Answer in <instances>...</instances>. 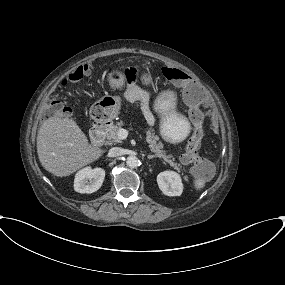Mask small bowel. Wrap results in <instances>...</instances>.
<instances>
[{"mask_svg":"<svg viewBox=\"0 0 285 285\" xmlns=\"http://www.w3.org/2000/svg\"><path fill=\"white\" fill-rule=\"evenodd\" d=\"M126 99L129 102H140L141 104L146 100L147 94L139 90L135 87H129L125 93ZM146 120L149 125L153 124V117L150 114H146ZM212 177V172L209 173L207 179H210Z\"/></svg>","mask_w":285,"mask_h":285,"instance_id":"small-bowel-1","label":"small bowel"}]
</instances>
